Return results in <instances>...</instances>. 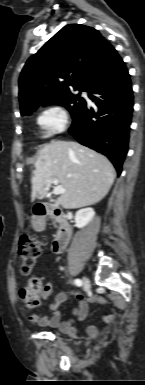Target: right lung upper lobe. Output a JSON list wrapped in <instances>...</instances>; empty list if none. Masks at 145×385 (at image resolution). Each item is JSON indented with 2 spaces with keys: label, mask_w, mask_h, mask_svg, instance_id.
<instances>
[{
  "label": "right lung upper lobe",
  "mask_w": 145,
  "mask_h": 385,
  "mask_svg": "<svg viewBox=\"0 0 145 385\" xmlns=\"http://www.w3.org/2000/svg\"><path fill=\"white\" fill-rule=\"evenodd\" d=\"M125 68L117 51L97 30L67 25L27 60L19 79L22 114L71 89L89 91ZM42 84L50 87L41 88Z\"/></svg>",
  "instance_id": "cb5924a9"
}]
</instances>
